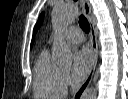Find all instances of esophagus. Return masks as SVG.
I'll return each instance as SVG.
<instances>
[{"label": "esophagus", "mask_w": 128, "mask_h": 99, "mask_svg": "<svg viewBox=\"0 0 128 99\" xmlns=\"http://www.w3.org/2000/svg\"><path fill=\"white\" fill-rule=\"evenodd\" d=\"M81 4H82V8H83V13L85 15V17L88 19L90 25H91V31H90V43H91V48H92V52H93V58H92V63H91V68L89 71V74L87 76V78L85 79V81L78 87V89L75 91L74 95H73V99H82L86 90L88 89L93 75H94V71H95V67L97 64V59H98V44H97V36H96V31L94 28V24L91 20V6L88 0H80Z\"/></svg>", "instance_id": "obj_1"}]
</instances>
